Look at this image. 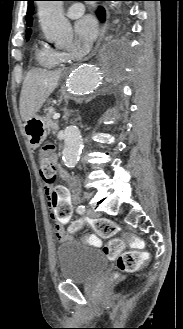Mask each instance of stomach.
I'll use <instances>...</instances> for the list:
<instances>
[{
    "mask_svg": "<svg viewBox=\"0 0 183 329\" xmlns=\"http://www.w3.org/2000/svg\"><path fill=\"white\" fill-rule=\"evenodd\" d=\"M24 132L31 148H38L48 134L45 118L40 115H34L31 117L24 122Z\"/></svg>",
    "mask_w": 183,
    "mask_h": 329,
    "instance_id": "stomach-1",
    "label": "stomach"
}]
</instances>
